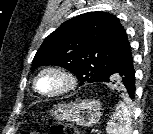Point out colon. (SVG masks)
<instances>
[{
	"label": "colon",
	"instance_id": "obj_1",
	"mask_svg": "<svg viewBox=\"0 0 153 134\" xmlns=\"http://www.w3.org/2000/svg\"><path fill=\"white\" fill-rule=\"evenodd\" d=\"M51 134H79L78 130L71 125L52 124L50 127ZM25 134H38L35 132H28Z\"/></svg>",
	"mask_w": 153,
	"mask_h": 134
}]
</instances>
